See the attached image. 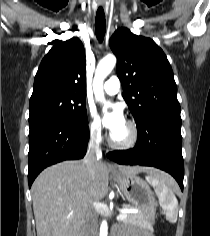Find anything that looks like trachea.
Masks as SVG:
<instances>
[{"instance_id": "1", "label": "trachea", "mask_w": 210, "mask_h": 236, "mask_svg": "<svg viewBox=\"0 0 210 236\" xmlns=\"http://www.w3.org/2000/svg\"><path fill=\"white\" fill-rule=\"evenodd\" d=\"M105 29H106L105 13L103 8L99 7L96 12V18H95V32L99 42H102L104 39Z\"/></svg>"}]
</instances>
